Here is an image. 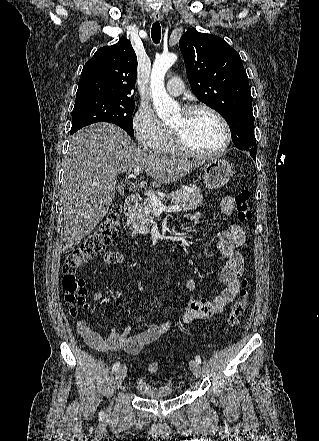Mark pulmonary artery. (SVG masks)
<instances>
[{
	"label": "pulmonary artery",
	"instance_id": "1",
	"mask_svg": "<svg viewBox=\"0 0 319 441\" xmlns=\"http://www.w3.org/2000/svg\"><path fill=\"white\" fill-rule=\"evenodd\" d=\"M166 90L168 94L172 96H180L184 91V85L182 80L179 77H172L166 86Z\"/></svg>",
	"mask_w": 319,
	"mask_h": 441
}]
</instances>
